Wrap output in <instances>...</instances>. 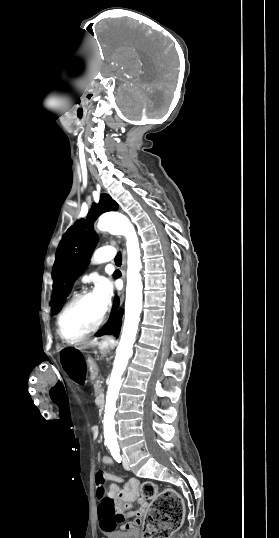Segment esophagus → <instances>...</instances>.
I'll return each mask as SVG.
<instances>
[{
    "label": "esophagus",
    "instance_id": "1",
    "mask_svg": "<svg viewBox=\"0 0 279 538\" xmlns=\"http://www.w3.org/2000/svg\"><path fill=\"white\" fill-rule=\"evenodd\" d=\"M122 266H123V270H122V278H123V280L125 281V267H126V252H125V250H123ZM119 295L121 296V302H122L123 299H124V293H123V291L120 292ZM104 338H106V339H110V338H112V336L106 335Z\"/></svg>",
    "mask_w": 279,
    "mask_h": 538
}]
</instances>
